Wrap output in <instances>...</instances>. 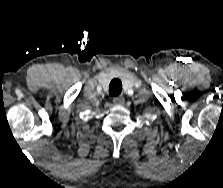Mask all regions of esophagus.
Listing matches in <instances>:
<instances>
[{"label":"esophagus","instance_id":"obj_1","mask_svg":"<svg viewBox=\"0 0 223 188\" xmlns=\"http://www.w3.org/2000/svg\"><path fill=\"white\" fill-rule=\"evenodd\" d=\"M124 101H125V99L122 96H118L113 99V103L115 105H122L124 103Z\"/></svg>","mask_w":223,"mask_h":188}]
</instances>
